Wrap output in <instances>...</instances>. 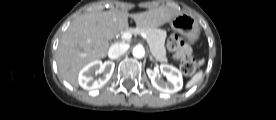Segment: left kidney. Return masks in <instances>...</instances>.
I'll use <instances>...</instances> for the list:
<instances>
[{
  "instance_id": "left-kidney-1",
  "label": "left kidney",
  "mask_w": 276,
  "mask_h": 120,
  "mask_svg": "<svg viewBox=\"0 0 276 120\" xmlns=\"http://www.w3.org/2000/svg\"><path fill=\"white\" fill-rule=\"evenodd\" d=\"M160 72L166 76L167 82L160 79L158 70L147 69V74L153 87L167 94H172L182 89L183 78L177 68L168 64H161Z\"/></svg>"
}]
</instances>
